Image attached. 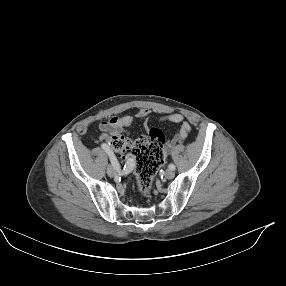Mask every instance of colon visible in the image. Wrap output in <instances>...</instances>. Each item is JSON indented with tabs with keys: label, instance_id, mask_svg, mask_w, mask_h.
<instances>
[{
	"label": "colon",
	"instance_id": "colon-1",
	"mask_svg": "<svg viewBox=\"0 0 286 286\" xmlns=\"http://www.w3.org/2000/svg\"><path fill=\"white\" fill-rule=\"evenodd\" d=\"M108 142L112 150L122 158H135L137 190L142 197H148L154 174L164 160L163 131L151 128L148 136H138L135 139L115 134L109 137Z\"/></svg>",
	"mask_w": 286,
	"mask_h": 286
}]
</instances>
